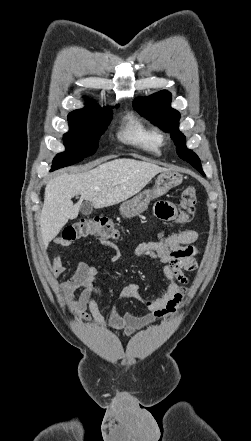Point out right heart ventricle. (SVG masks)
<instances>
[{
  "label": "right heart ventricle",
  "instance_id": "right-heart-ventricle-1",
  "mask_svg": "<svg viewBox=\"0 0 251 441\" xmlns=\"http://www.w3.org/2000/svg\"><path fill=\"white\" fill-rule=\"evenodd\" d=\"M118 138L125 144L139 148L153 155H159L163 137L158 129L134 113H128L118 132Z\"/></svg>",
  "mask_w": 251,
  "mask_h": 441
}]
</instances>
